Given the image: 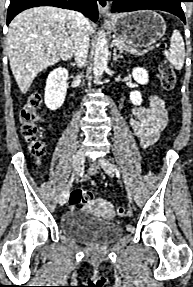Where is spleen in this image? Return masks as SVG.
<instances>
[{"instance_id":"1","label":"spleen","mask_w":193,"mask_h":287,"mask_svg":"<svg viewBox=\"0 0 193 287\" xmlns=\"http://www.w3.org/2000/svg\"><path fill=\"white\" fill-rule=\"evenodd\" d=\"M164 56L176 70H181L185 59V45L180 32L175 29L170 38V49L163 52Z\"/></svg>"}]
</instances>
